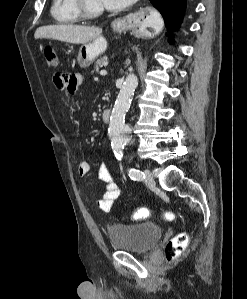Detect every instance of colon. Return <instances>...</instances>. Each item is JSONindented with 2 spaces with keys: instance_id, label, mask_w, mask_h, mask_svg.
I'll return each instance as SVG.
<instances>
[{
  "instance_id": "colon-1",
  "label": "colon",
  "mask_w": 247,
  "mask_h": 299,
  "mask_svg": "<svg viewBox=\"0 0 247 299\" xmlns=\"http://www.w3.org/2000/svg\"><path fill=\"white\" fill-rule=\"evenodd\" d=\"M44 56L46 59L47 66L50 68H56L58 66V55L55 50L46 46L44 49ZM151 212L148 208L142 207L137 209L132 214V219L135 221L143 220L150 217ZM165 218L171 220L174 218L172 212H165ZM188 244V237L185 233H179L174 236L171 240L168 241L166 245V257L168 260H173L180 256L182 252L185 250Z\"/></svg>"
}]
</instances>
